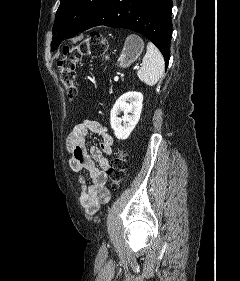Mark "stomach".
I'll return each instance as SVG.
<instances>
[{
  "label": "stomach",
  "mask_w": 240,
  "mask_h": 281,
  "mask_svg": "<svg viewBox=\"0 0 240 281\" xmlns=\"http://www.w3.org/2000/svg\"><path fill=\"white\" fill-rule=\"evenodd\" d=\"M144 48L143 40L137 35H130L126 38L122 53L118 59L119 66L129 67L142 53Z\"/></svg>",
  "instance_id": "1"
}]
</instances>
